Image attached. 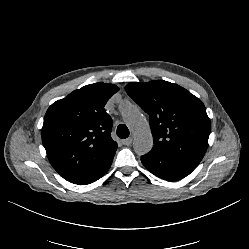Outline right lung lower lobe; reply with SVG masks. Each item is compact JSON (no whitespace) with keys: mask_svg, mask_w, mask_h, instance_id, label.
<instances>
[{"mask_svg":"<svg viewBox=\"0 0 249 249\" xmlns=\"http://www.w3.org/2000/svg\"><path fill=\"white\" fill-rule=\"evenodd\" d=\"M113 156H111L109 159H107L98 169H96L94 172H92L90 175L86 176L85 178L75 182V184L84 185V184H90L99 178H101L110 168Z\"/></svg>","mask_w":249,"mask_h":249,"instance_id":"1","label":"right lung lower lobe"}]
</instances>
